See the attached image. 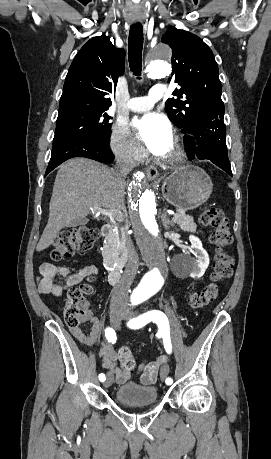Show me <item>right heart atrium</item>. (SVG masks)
Masks as SVG:
<instances>
[{
    "label": "right heart atrium",
    "instance_id": "right-heart-atrium-1",
    "mask_svg": "<svg viewBox=\"0 0 271 459\" xmlns=\"http://www.w3.org/2000/svg\"><path fill=\"white\" fill-rule=\"evenodd\" d=\"M110 148L113 153L125 158L130 164H138L146 156L145 149L133 138L128 128L122 124H115L111 129Z\"/></svg>",
    "mask_w": 271,
    "mask_h": 459
}]
</instances>
